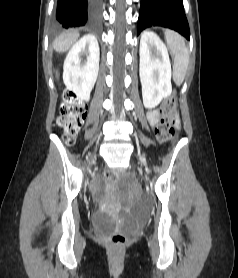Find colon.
<instances>
[{
	"label": "colon",
	"instance_id": "obj_1",
	"mask_svg": "<svg viewBox=\"0 0 238 278\" xmlns=\"http://www.w3.org/2000/svg\"><path fill=\"white\" fill-rule=\"evenodd\" d=\"M159 112L160 122L156 127V137L160 142H167L175 136L176 104L174 97L166 98L161 104ZM86 115L85 105L78 100L73 92L66 91L60 106L57 123L63 130V138L67 144H72L75 141ZM118 177L119 175L112 170L105 171L108 185L116 182ZM98 235L113 248L122 247L127 240L126 235L119 231H99Z\"/></svg>",
	"mask_w": 238,
	"mask_h": 278
}]
</instances>
